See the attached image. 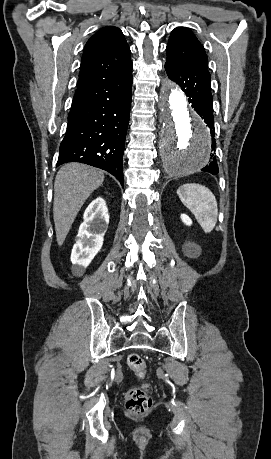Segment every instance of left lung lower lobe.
<instances>
[{"label":"left lung lower lobe","mask_w":271,"mask_h":459,"mask_svg":"<svg viewBox=\"0 0 271 459\" xmlns=\"http://www.w3.org/2000/svg\"><path fill=\"white\" fill-rule=\"evenodd\" d=\"M165 70L168 77L182 88L189 97V103H192L194 110L208 125L212 137V151H215L213 97L211 94L209 71L191 70L169 63H165ZM201 170L213 175L218 174L219 170L215 154L211 155L209 164Z\"/></svg>","instance_id":"1"}]
</instances>
